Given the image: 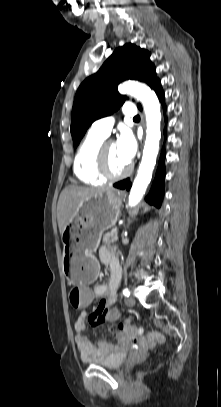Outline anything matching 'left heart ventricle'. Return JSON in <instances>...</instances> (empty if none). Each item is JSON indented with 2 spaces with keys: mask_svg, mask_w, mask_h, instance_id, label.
<instances>
[{
  "mask_svg": "<svg viewBox=\"0 0 221 407\" xmlns=\"http://www.w3.org/2000/svg\"><path fill=\"white\" fill-rule=\"evenodd\" d=\"M107 161L109 169L113 173H119L128 166V163L119 155L115 143H112L107 147Z\"/></svg>",
  "mask_w": 221,
  "mask_h": 407,
  "instance_id": "b2bd125f",
  "label": "left heart ventricle"
}]
</instances>
